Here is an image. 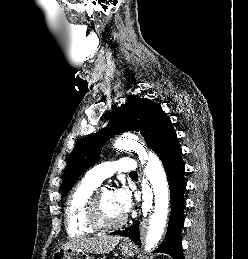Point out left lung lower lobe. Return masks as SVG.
<instances>
[{
  "label": "left lung lower lobe",
  "instance_id": "0a47b994",
  "mask_svg": "<svg viewBox=\"0 0 248 259\" xmlns=\"http://www.w3.org/2000/svg\"><path fill=\"white\" fill-rule=\"evenodd\" d=\"M157 154L164 165L169 182L171 214L166 239L155 252L169 254L174 259H183L180 231L184 225L183 211L186 206V201L184 200L186 182L184 179L182 150L178 140L159 150ZM113 234L129 237L136 244L141 245L139 241V223L132 225L124 231H117Z\"/></svg>",
  "mask_w": 248,
  "mask_h": 259
}]
</instances>
